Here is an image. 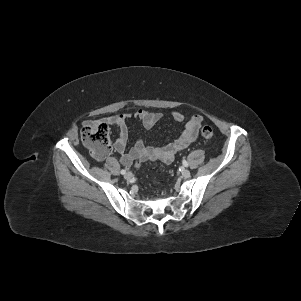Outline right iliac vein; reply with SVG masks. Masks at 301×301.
I'll use <instances>...</instances> for the list:
<instances>
[{"mask_svg": "<svg viewBox=\"0 0 301 301\" xmlns=\"http://www.w3.org/2000/svg\"><path fill=\"white\" fill-rule=\"evenodd\" d=\"M124 178L127 179V180L131 179L132 178V173L131 172H126L124 174Z\"/></svg>", "mask_w": 301, "mask_h": 301, "instance_id": "63e3f726", "label": "right iliac vein"}]
</instances>
